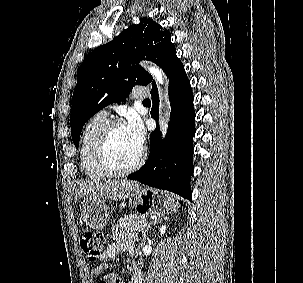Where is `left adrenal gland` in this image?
<instances>
[{
  "label": "left adrenal gland",
  "mask_w": 303,
  "mask_h": 283,
  "mask_svg": "<svg viewBox=\"0 0 303 283\" xmlns=\"http://www.w3.org/2000/svg\"><path fill=\"white\" fill-rule=\"evenodd\" d=\"M161 220L162 219L160 217H158V218H155L154 220H152L148 224V226L146 227V229L143 231V240H146V234H147L148 230L151 228V226L157 224L158 222H161Z\"/></svg>",
  "instance_id": "left-adrenal-gland-1"
}]
</instances>
